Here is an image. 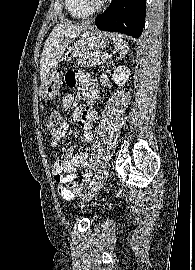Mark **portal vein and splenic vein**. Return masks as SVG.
<instances>
[{
	"label": "portal vein and splenic vein",
	"instance_id": "portal-vein-and-splenic-vein-1",
	"mask_svg": "<svg viewBox=\"0 0 195 270\" xmlns=\"http://www.w3.org/2000/svg\"><path fill=\"white\" fill-rule=\"evenodd\" d=\"M103 56H104L105 58H111L112 55L109 54V53H104Z\"/></svg>",
	"mask_w": 195,
	"mask_h": 270
}]
</instances>
